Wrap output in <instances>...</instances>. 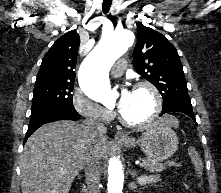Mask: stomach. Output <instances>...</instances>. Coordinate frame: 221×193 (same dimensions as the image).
Listing matches in <instances>:
<instances>
[{
	"mask_svg": "<svg viewBox=\"0 0 221 193\" xmlns=\"http://www.w3.org/2000/svg\"><path fill=\"white\" fill-rule=\"evenodd\" d=\"M120 143L129 148L140 146L147 158L153 161H163L178 149V137L175 131L160 120L148 126L137 139L127 137Z\"/></svg>",
	"mask_w": 221,
	"mask_h": 193,
	"instance_id": "obj_1",
	"label": "stomach"
}]
</instances>
